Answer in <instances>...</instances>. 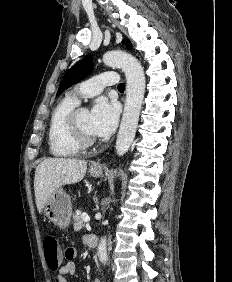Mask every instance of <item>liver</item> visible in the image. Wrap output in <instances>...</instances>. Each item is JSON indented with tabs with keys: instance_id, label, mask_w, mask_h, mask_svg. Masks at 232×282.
I'll use <instances>...</instances> for the list:
<instances>
[{
	"instance_id": "obj_1",
	"label": "liver",
	"mask_w": 232,
	"mask_h": 282,
	"mask_svg": "<svg viewBox=\"0 0 232 282\" xmlns=\"http://www.w3.org/2000/svg\"><path fill=\"white\" fill-rule=\"evenodd\" d=\"M87 170L85 160L71 158H48L35 170L34 191L39 213L49 197L61 186L81 181Z\"/></svg>"
}]
</instances>
